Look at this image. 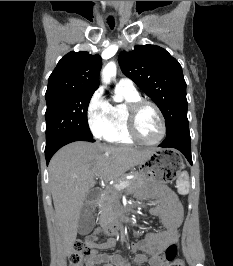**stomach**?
Masks as SVG:
<instances>
[{"label": "stomach", "mask_w": 233, "mask_h": 266, "mask_svg": "<svg viewBox=\"0 0 233 266\" xmlns=\"http://www.w3.org/2000/svg\"><path fill=\"white\" fill-rule=\"evenodd\" d=\"M168 166H184L182 152H177V147H156V150L139 164L145 185L157 180H160V185H171V180H177L178 172H182V167Z\"/></svg>", "instance_id": "1"}]
</instances>
